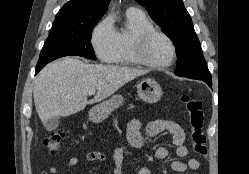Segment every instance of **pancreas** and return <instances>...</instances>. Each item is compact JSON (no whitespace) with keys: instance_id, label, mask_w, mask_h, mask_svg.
<instances>
[{"instance_id":"cf45deb5","label":"pancreas","mask_w":249,"mask_h":174,"mask_svg":"<svg viewBox=\"0 0 249 174\" xmlns=\"http://www.w3.org/2000/svg\"><path fill=\"white\" fill-rule=\"evenodd\" d=\"M134 106L133 105H130L129 109H132Z\"/></svg>"}]
</instances>
